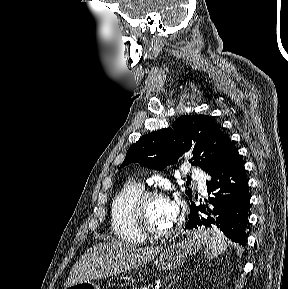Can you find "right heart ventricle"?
Here are the masks:
<instances>
[{
    "label": "right heart ventricle",
    "mask_w": 288,
    "mask_h": 289,
    "mask_svg": "<svg viewBox=\"0 0 288 289\" xmlns=\"http://www.w3.org/2000/svg\"><path fill=\"white\" fill-rule=\"evenodd\" d=\"M143 190L136 181H128L114 195L110 207V224L113 235L124 244L140 245L146 238L137 233L129 218V208L134 198Z\"/></svg>",
    "instance_id": "e07e8e85"
}]
</instances>
